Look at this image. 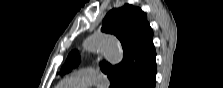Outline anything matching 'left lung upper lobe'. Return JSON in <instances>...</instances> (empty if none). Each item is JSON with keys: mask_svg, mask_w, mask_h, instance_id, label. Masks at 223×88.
<instances>
[{"mask_svg": "<svg viewBox=\"0 0 223 88\" xmlns=\"http://www.w3.org/2000/svg\"><path fill=\"white\" fill-rule=\"evenodd\" d=\"M101 30L115 35L123 47V60L112 67L101 62V71L107 74L110 85L115 86L132 73L141 72L155 57L153 31L147 22L146 14L131 4L112 9L105 16ZM80 61L77 51H72L61 68V74L69 72Z\"/></svg>", "mask_w": 223, "mask_h": 88, "instance_id": "obj_1", "label": "left lung upper lobe"}]
</instances>
